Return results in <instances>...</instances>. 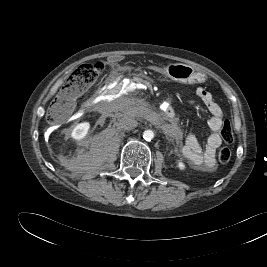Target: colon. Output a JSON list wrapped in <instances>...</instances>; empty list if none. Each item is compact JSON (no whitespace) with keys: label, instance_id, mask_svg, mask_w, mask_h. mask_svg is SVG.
I'll use <instances>...</instances> for the list:
<instances>
[{"label":"colon","instance_id":"obj_1","mask_svg":"<svg viewBox=\"0 0 267 267\" xmlns=\"http://www.w3.org/2000/svg\"><path fill=\"white\" fill-rule=\"evenodd\" d=\"M102 69L101 63L83 64L76 68L53 101L47 113V121L50 124H58L65 120L73 112L79 96L97 80ZM220 133L226 143L234 140L232 126L228 120L224 121ZM231 156L228 147L221 148L218 153V159L222 164H227Z\"/></svg>","mask_w":267,"mask_h":267}]
</instances>
